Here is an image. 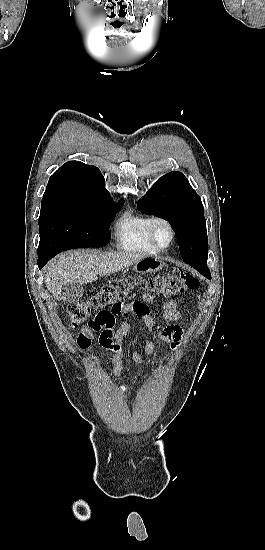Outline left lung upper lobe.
I'll return each instance as SVG.
<instances>
[{
	"label": "left lung upper lobe",
	"instance_id": "5c2ea615",
	"mask_svg": "<svg viewBox=\"0 0 265 550\" xmlns=\"http://www.w3.org/2000/svg\"><path fill=\"white\" fill-rule=\"evenodd\" d=\"M138 209L171 224L187 263L207 260L208 240L200 197L181 172L165 174L136 202Z\"/></svg>",
	"mask_w": 265,
	"mask_h": 550
}]
</instances>
